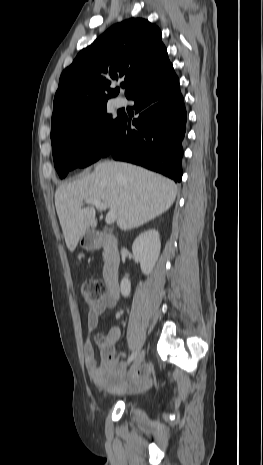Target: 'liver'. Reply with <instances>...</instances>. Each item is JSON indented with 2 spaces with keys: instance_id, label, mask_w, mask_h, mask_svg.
<instances>
[{
  "instance_id": "6515ba94",
  "label": "liver",
  "mask_w": 263,
  "mask_h": 465,
  "mask_svg": "<svg viewBox=\"0 0 263 465\" xmlns=\"http://www.w3.org/2000/svg\"><path fill=\"white\" fill-rule=\"evenodd\" d=\"M174 181L124 162L104 161L94 171L58 187L55 206L66 246L73 252L88 230L97 226L94 207L82 208L83 201L99 199L116 213L121 230L139 227L166 212L174 203Z\"/></svg>"
}]
</instances>
